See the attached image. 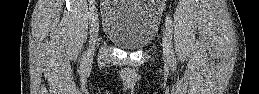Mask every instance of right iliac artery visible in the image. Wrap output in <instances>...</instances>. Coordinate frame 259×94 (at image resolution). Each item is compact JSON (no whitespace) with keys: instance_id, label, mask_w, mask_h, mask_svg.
<instances>
[{"instance_id":"right-iliac-artery-1","label":"right iliac artery","mask_w":259,"mask_h":94,"mask_svg":"<svg viewBox=\"0 0 259 94\" xmlns=\"http://www.w3.org/2000/svg\"><path fill=\"white\" fill-rule=\"evenodd\" d=\"M90 23H91V26L95 20V5L93 4V0H91L90 2ZM87 63V57H86V54L83 55V58H82V64L85 65Z\"/></svg>"}]
</instances>
